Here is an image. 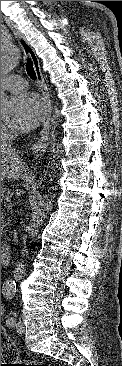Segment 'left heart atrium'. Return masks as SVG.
Listing matches in <instances>:
<instances>
[{"label":"left heart atrium","mask_w":122,"mask_h":366,"mask_svg":"<svg viewBox=\"0 0 122 366\" xmlns=\"http://www.w3.org/2000/svg\"><path fill=\"white\" fill-rule=\"evenodd\" d=\"M45 106L33 93H23L10 100L7 125L17 131L31 130L43 119Z\"/></svg>","instance_id":"1"}]
</instances>
